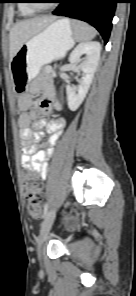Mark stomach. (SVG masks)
Returning <instances> with one entry per match:
<instances>
[{
	"instance_id": "stomach-1",
	"label": "stomach",
	"mask_w": 136,
	"mask_h": 296,
	"mask_svg": "<svg viewBox=\"0 0 136 296\" xmlns=\"http://www.w3.org/2000/svg\"><path fill=\"white\" fill-rule=\"evenodd\" d=\"M73 29L67 19H58L25 42L11 60L17 94H27L29 85L42 67L65 56L74 45Z\"/></svg>"
}]
</instances>
